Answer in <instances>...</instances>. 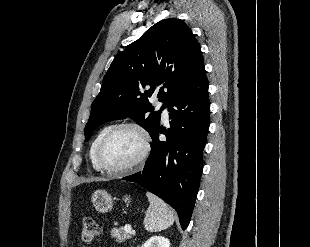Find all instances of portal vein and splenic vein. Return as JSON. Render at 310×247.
Wrapping results in <instances>:
<instances>
[{
    "label": "portal vein and splenic vein",
    "mask_w": 310,
    "mask_h": 247,
    "mask_svg": "<svg viewBox=\"0 0 310 247\" xmlns=\"http://www.w3.org/2000/svg\"><path fill=\"white\" fill-rule=\"evenodd\" d=\"M124 230H125L126 232H132V233H135V231H134V230H132L131 226H130V225H128V224H126V225H125Z\"/></svg>",
    "instance_id": "portal-vein-and-splenic-vein-1"
}]
</instances>
